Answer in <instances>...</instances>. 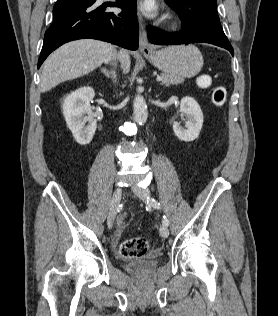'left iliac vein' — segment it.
<instances>
[{
    "label": "left iliac vein",
    "mask_w": 278,
    "mask_h": 316,
    "mask_svg": "<svg viewBox=\"0 0 278 316\" xmlns=\"http://www.w3.org/2000/svg\"><path fill=\"white\" fill-rule=\"evenodd\" d=\"M132 191L139 199H141L145 203H148V197L150 195L149 190L141 188V187L133 186ZM160 234L164 238H167L169 236V230L166 225L163 224L160 227Z\"/></svg>",
    "instance_id": "1"
}]
</instances>
